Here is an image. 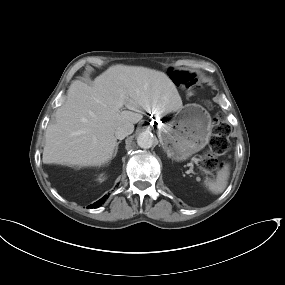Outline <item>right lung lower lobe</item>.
<instances>
[{"label": "right lung lower lobe", "instance_id": "1", "mask_svg": "<svg viewBox=\"0 0 285 285\" xmlns=\"http://www.w3.org/2000/svg\"><path fill=\"white\" fill-rule=\"evenodd\" d=\"M107 198H108V196L105 195L103 198H101L100 200H98L94 204L90 205V208H98L99 206H101L104 203L105 199H107Z\"/></svg>", "mask_w": 285, "mask_h": 285}]
</instances>
